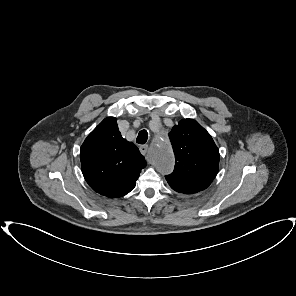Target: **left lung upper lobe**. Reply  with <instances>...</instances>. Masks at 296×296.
<instances>
[{
  "label": "left lung upper lobe",
  "mask_w": 296,
  "mask_h": 296,
  "mask_svg": "<svg viewBox=\"0 0 296 296\" xmlns=\"http://www.w3.org/2000/svg\"><path fill=\"white\" fill-rule=\"evenodd\" d=\"M175 169L165 176L170 187L181 194L206 189L218 172L219 150L210 134L195 120L183 119L169 132Z\"/></svg>",
  "instance_id": "1"
}]
</instances>
